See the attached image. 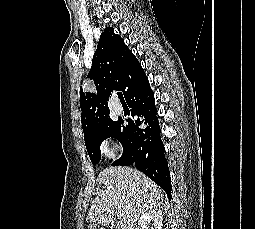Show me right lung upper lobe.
Segmentation results:
<instances>
[{"label":"right lung upper lobe","instance_id":"1","mask_svg":"<svg viewBox=\"0 0 255 229\" xmlns=\"http://www.w3.org/2000/svg\"><path fill=\"white\" fill-rule=\"evenodd\" d=\"M141 67L136 57L125 45L124 40L107 27L101 34L88 78L95 88L83 92L80 89L81 122L85 141L96 129L110 119L108 100L113 90H120L124 96L133 73Z\"/></svg>","mask_w":255,"mask_h":229}]
</instances>
